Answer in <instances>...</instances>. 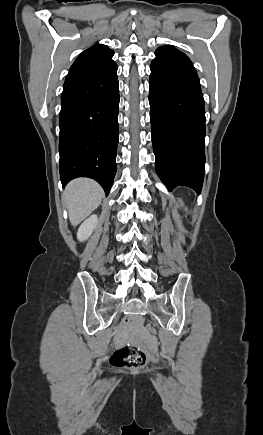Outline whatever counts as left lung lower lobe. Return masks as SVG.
<instances>
[{
    "label": "left lung lower lobe",
    "mask_w": 263,
    "mask_h": 435,
    "mask_svg": "<svg viewBox=\"0 0 263 435\" xmlns=\"http://www.w3.org/2000/svg\"><path fill=\"white\" fill-rule=\"evenodd\" d=\"M149 103L155 169L169 190L201 192L205 165V110L196 74L158 60L150 66Z\"/></svg>",
    "instance_id": "1"
}]
</instances>
